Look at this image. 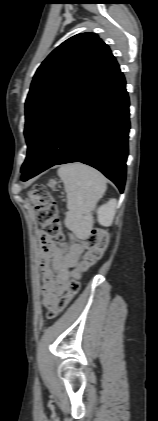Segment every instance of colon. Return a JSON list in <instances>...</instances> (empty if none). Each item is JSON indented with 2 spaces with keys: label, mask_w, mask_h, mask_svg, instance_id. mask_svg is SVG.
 I'll use <instances>...</instances> for the list:
<instances>
[{
  "label": "colon",
  "mask_w": 158,
  "mask_h": 421,
  "mask_svg": "<svg viewBox=\"0 0 158 421\" xmlns=\"http://www.w3.org/2000/svg\"><path fill=\"white\" fill-rule=\"evenodd\" d=\"M29 196L38 211V220L42 225V235L62 243L65 236L55 198L43 185H35L30 190ZM108 242V234L103 229H93L83 238V245L86 251L80 263L79 273L68 282L67 291L60 297L57 304L48 309L47 317L49 319H54L62 313L77 295L80 289L79 278L81 272L88 270L103 257Z\"/></svg>",
  "instance_id": "1"
}]
</instances>
